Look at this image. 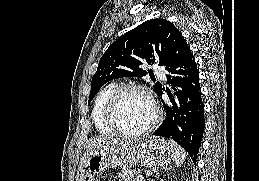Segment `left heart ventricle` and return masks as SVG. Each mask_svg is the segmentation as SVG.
<instances>
[{
	"label": "left heart ventricle",
	"mask_w": 259,
	"mask_h": 181,
	"mask_svg": "<svg viewBox=\"0 0 259 181\" xmlns=\"http://www.w3.org/2000/svg\"><path fill=\"white\" fill-rule=\"evenodd\" d=\"M154 118V109L149 100L140 93H128L119 105L116 119L126 131H138L149 125Z\"/></svg>",
	"instance_id": "left-heart-ventricle-1"
}]
</instances>
